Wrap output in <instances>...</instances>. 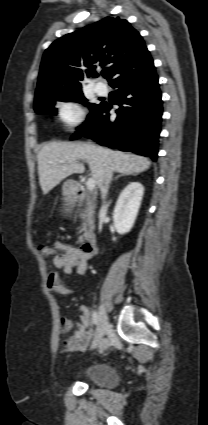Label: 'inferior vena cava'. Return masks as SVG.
Returning a JSON list of instances; mask_svg holds the SVG:
<instances>
[{"instance_id":"602c4592","label":"inferior vena cava","mask_w":208,"mask_h":425,"mask_svg":"<svg viewBox=\"0 0 208 425\" xmlns=\"http://www.w3.org/2000/svg\"><path fill=\"white\" fill-rule=\"evenodd\" d=\"M112 177H113V167L110 165L106 169V172H105V175H104L103 185L101 187V196H102L103 200H105V198L107 196L109 184L112 181Z\"/></svg>"}]
</instances>
